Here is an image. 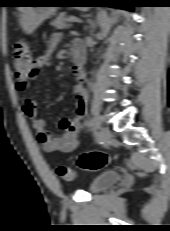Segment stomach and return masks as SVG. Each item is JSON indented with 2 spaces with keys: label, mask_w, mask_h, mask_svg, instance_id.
Wrapping results in <instances>:
<instances>
[{
  "label": "stomach",
  "mask_w": 170,
  "mask_h": 231,
  "mask_svg": "<svg viewBox=\"0 0 170 231\" xmlns=\"http://www.w3.org/2000/svg\"><path fill=\"white\" fill-rule=\"evenodd\" d=\"M35 4H48L54 3L49 0H34L28 1ZM39 7H21V15L19 24L23 31L27 34H31L43 21L49 19L56 12L57 7H45L44 5H38Z\"/></svg>",
  "instance_id": "1"
}]
</instances>
